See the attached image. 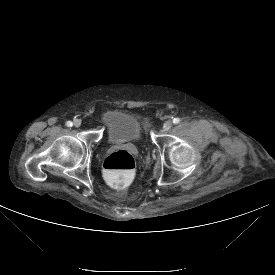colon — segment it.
Here are the masks:
<instances>
[{
	"instance_id": "5ec220e1",
	"label": "colon",
	"mask_w": 275,
	"mask_h": 275,
	"mask_svg": "<svg viewBox=\"0 0 275 275\" xmlns=\"http://www.w3.org/2000/svg\"><path fill=\"white\" fill-rule=\"evenodd\" d=\"M135 160L126 150H118L108 155L103 163L106 180L117 187L128 186L135 177Z\"/></svg>"
}]
</instances>
